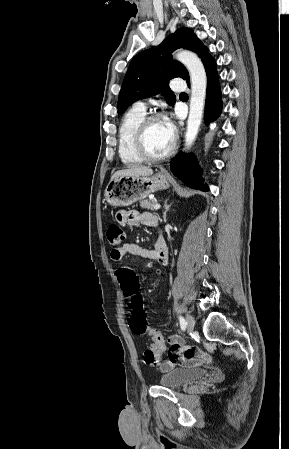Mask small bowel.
<instances>
[{
    "instance_id": "small-bowel-1",
    "label": "small bowel",
    "mask_w": 289,
    "mask_h": 449,
    "mask_svg": "<svg viewBox=\"0 0 289 449\" xmlns=\"http://www.w3.org/2000/svg\"><path fill=\"white\" fill-rule=\"evenodd\" d=\"M117 220L122 225H138L144 224L150 227L157 226V219L154 215L149 213H139L137 211H120L117 215ZM126 255H135L143 258H148L166 265L168 263V249L163 238H159L154 249L143 248L136 243L126 242L120 247L112 249L110 256L115 262H120ZM164 348L168 360H159L156 367L161 372H168L175 368L176 365L181 369H196L199 365L204 368L206 365L209 368L214 366L217 361L213 359L211 352L203 353L197 346H185L184 340L178 335H172L168 338ZM214 362V363H213Z\"/></svg>"
}]
</instances>
